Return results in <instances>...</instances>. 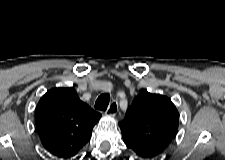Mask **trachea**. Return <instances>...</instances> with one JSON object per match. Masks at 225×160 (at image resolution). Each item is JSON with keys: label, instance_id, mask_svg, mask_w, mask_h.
<instances>
[{"label": "trachea", "instance_id": "1", "mask_svg": "<svg viewBox=\"0 0 225 160\" xmlns=\"http://www.w3.org/2000/svg\"><path fill=\"white\" fill-rule=\"evenodd\" d=\"M109 101L110 95L108 93L101 94L95 102V108L105 111L108 107Z\"/></svg>", "mask_w": 225, "mask_h": 160}]
</instances>
